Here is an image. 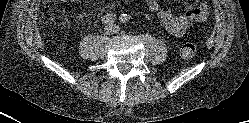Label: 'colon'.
<instances>
[{
  "label": "colon",
  "mask_w": 249,
  "mask_h": 123,
  "mask_svg": "<svg viewBox=\"0 0 249 123\" xmlns=\"http://www.w3.org/2000/svg\"><path fill=\"white\" fill-rule=\"evenodd\" d=\"M196 53V44L192 39H186L180 48V54L183 58H192Z\"/></svg>",
  "instance_id": "5ec220e1"
}]
</instances>
